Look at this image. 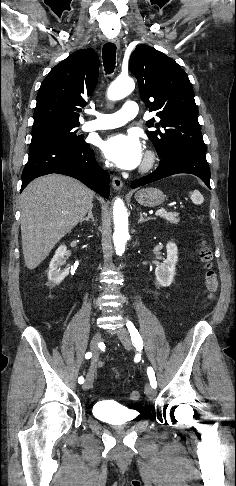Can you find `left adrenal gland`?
Instances as JSON below:
<instances>
[{"instance_id": "obj_1", "label": "left adrenal gland", "mask_w": 236, "mask_h": 486, "mask_svg": "<svg viewBox=\"0 0 236 486\" xmlns=\"http://www.w3.org/2000/svg\"><path fill=\"white\" fill-rule=\"evenodd\" d=\"M150 220V218H144L142 212H140V219L138 220V224L143 223L145 221Z\"/></svg>"}]
</instances>
